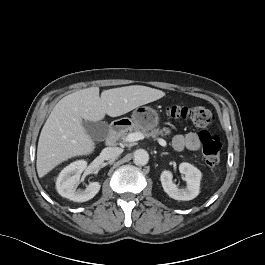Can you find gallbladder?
Instances as JSON below:
<instances>
[{
	"label": "gallbladder",
	"mask_w": 265,
	"mask_h": 265,
	"mask_svg": "<svg viewBox=\"0 0 265 265\" xmlns=\"http://www.w3.org/2000/svg\"><path fill=\"white\" fill-rule=\"evenodd\" d=\"M83 126L93 140H103L107 136L109 130L108 124L103 121H83Z\"/></svg>",
	"instance_id": "1"
}]
</instances>
